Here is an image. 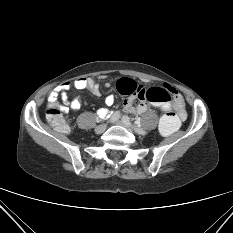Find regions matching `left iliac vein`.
Here are the masks:
<instances>
[{"mask_svg":"<svg viewBox=\"0 0 233 233\" xmlns=\"http://www.w3.org/2000/svg\"><path fill=\"white\" fill-rule=\"evenodd\" d=\"M115 123L118 124V125H121V126L125 127V128L128 129L129 131L135 132V133L140 134V135H144V134H142V133H139V132L135 131L134 129H132V128L129 127L128 125H126V124H125V121H123V120H116Z\"/></svg>","mask_w":233,"mask_h":233,"instance_id":"left-iliac-vein-1","label":"left iliac vein"}]
</instances>
